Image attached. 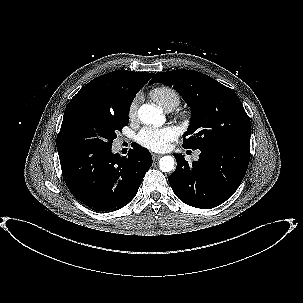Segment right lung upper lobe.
<instances>
[{
  "label": "right lung upper lobe",
  "instance_id": "obj_1",
  "mask_svg": "<svg viewBox=\"0 0 303 303\" xmlns=\"http://www.w3.org/2000/svg\"><path fill=\"white\" fill-rule=\"evenodd\" d=\"M153 75L154 73L127 70L101 75L85 85L66 108L87 103L114 115L128 114L135 95Z\"/></svg>",
  "mask_w": 303,
  "mask_h": 303
}]
</instances>
